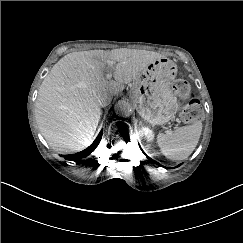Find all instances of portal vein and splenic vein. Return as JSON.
Listing matches in <instances>:
<instances>
[{
	"mask_svg": "<svg viewBox=\"0 0 243 243\" xmlns=\"http://www.w3.org/2000/svg\"><path fill=\"white\" fill-rule=\"evenodd\" d=\"M108 64L112 67V66H113V61H108ZM107 77L110 78L111 75H108ZM78 132H81V131L78 130ZM164 132H165V133H168V134H171V131H169V130H167V129H164Z\"/></svg>",
	"mask_w": 243,
	"mask_h": 243,
	"instance_id": "obj_1",
	"label": "portal vein and splenic vein"
}]
</instances>
